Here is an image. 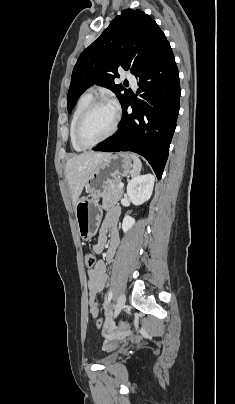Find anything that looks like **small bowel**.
I'll list each match as a JSON object with an SVG mask.
<instances>
[{
	"instance_id": "1",
	"label": "small bowel",
	"mask_w": 235,
	"mask_h": 404,
	"mask_svg": "<svg viewBox=\"0 0 235 404\" xmlns=\"http://www.w3.org/2000/svg\"><path fill=\"white\" fill-rule=\"evenodd\" d=\"M118 215V209H112L108 212L100 226L97 239L93 245L96 253H104V258L107 262L112 261L119 245V234L116 227ZM107 245L108 248L105 251ZM107 278L106 262L104 260L97 261L96 265L88 270V304L89 312L93 317L100 315L97 295L105 289Z\"/></svg>"
}]
</instances>
